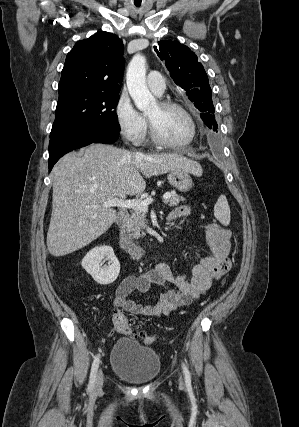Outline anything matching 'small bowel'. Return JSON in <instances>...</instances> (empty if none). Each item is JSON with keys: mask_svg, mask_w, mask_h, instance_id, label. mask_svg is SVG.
Wrapping results in <instances>:
<instances>
[{"mask_svg": "<svg viewBox=\"0 0 299 427\" xmlns=\"http://www.w3.org/2000/svg\"><path fill=\"white\" fill-rule=\"evenodd\" d=\"M190 215L187 206L175 208L170 221ZM206 240L210 254L201 258L188 274H176L166 263L137 276L125 278L117 288L113 305L135 315L167 317L179 307L189 305L205 295L213 281L219 279L231 267L228 258L231 231L216 223L205 225ZM152 285L160 286L163 292L145 303L130 299L138 291L147 295Z\"/></svg>", "mask_w": 299, "mask_h": 427, "instance_id": "1", "label": "small bowel"}]
</instances>
